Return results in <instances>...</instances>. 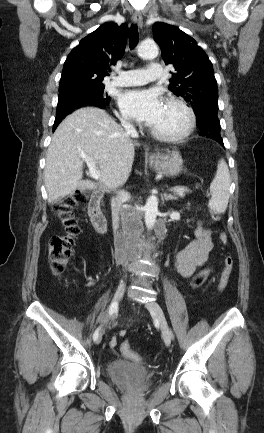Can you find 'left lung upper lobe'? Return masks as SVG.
Segmentation results:
<instances>
[{
	"label": "left lung upper lobe",
	"instance_id": "1",
	"mask_svg": "<svg viewBox=\"0 0 264 433\" xmlns=\"http://www.w3.org/2000/svg\"><path fill=\"white\" fill-rule=\"evenodd\" d=\"M165 64H173L169 90L191 103L195 114L205 110L218 112V87L212 63L196 41L178 27L163 22L153 26ZM206 137L221 138L220 129Z\"/></svg>",
	"mask_w": 264,
	"mask_h": 433
}]
</instances>
